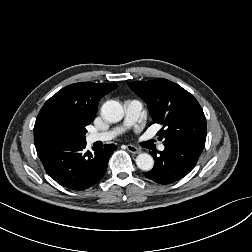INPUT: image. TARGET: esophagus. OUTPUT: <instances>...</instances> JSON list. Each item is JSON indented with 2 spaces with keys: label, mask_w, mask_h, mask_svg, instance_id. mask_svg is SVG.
Here are the masks:
<instances>
[{
  "label": "esophagus",
  "mask_w": 252,
  "mask_h": 252,
  "mask_svg": "<svg viewBox=\"0 0 252 252\" xmlns=\"http://www.w3.org/2000/svg\"><path fill=\"white\" fill-rule=\"evenodd\" d=\"M126 148L129 152H131L133 154H140L141 153V150L134 145L129 144L126 146Z\"/></svg>",
  "instance_id": "obj_1"
}]
</instances>
